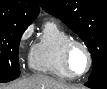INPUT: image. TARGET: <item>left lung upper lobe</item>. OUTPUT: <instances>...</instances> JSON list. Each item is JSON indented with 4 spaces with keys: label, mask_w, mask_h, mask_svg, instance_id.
Listing matches in <instances>:
<instances>
[{
    "label": "left lung upper lobe",
    "mask_w": 107,
    "mask_h": 89,
    "mask_svg": "<svg viewBox=\"0 0 107 89\" xmlns=\"http://www.w3.org/2000/svg\"><path fill=\"white\" fill-rule=\"evenodd\" d=\"M40 5L61 19L88 47L93 60L89 80L107 71V0H40Z\"/></svg>",
    "instance_id": "obj_1"
}]
</instances>
